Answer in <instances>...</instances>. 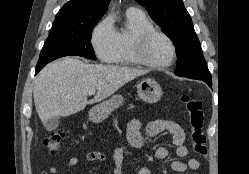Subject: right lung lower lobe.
Wrapping results in <instances>:
<instances>
[{"instance_id": "right-lung-lower-lobe-1", "label": "right lung lower lobe", "mask_w": 249, "mask_h": 174, "mask_svg": "<svg viewBox=\"0 0 249 174\" xmlns=\"http://www.w3.org/2000/svg\"><path fill=\"white\" fill-rule=\"evenodd\" d=\"M41 68H43V67H36L35 74H37L41 70Z\"/></svg>"}]
</instances>
